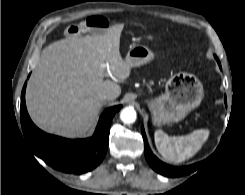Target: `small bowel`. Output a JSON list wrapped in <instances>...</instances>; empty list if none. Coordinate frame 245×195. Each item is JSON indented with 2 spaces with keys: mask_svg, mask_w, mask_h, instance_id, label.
Returning <instances> with one entry per match:
<instances>
[{
  "mask_svg": "<svg viewBox=\"0 0 245 195\" xmlns=\"http://www.w3.org/2000/svg\"><path fill=\"white\" fill-rule=\"evenodd\" d=\"M109 27L108 20L101 15H90L78 24L67 27L66 34L71 37L87 32H101Z\"/></svg>",
  "mask_w": 245,
  "mask_h": 195,
  "instance_id": "1",
  "label": "small bowel"
}]
</instances>
